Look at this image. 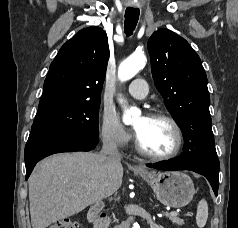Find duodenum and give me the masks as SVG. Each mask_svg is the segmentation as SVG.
Instances as JSON below:
<instances>
[{
    "instance_id": "410a0bca",
    "label": "duodenum",
    "mask_w": 238,
    "mask_h": 228,
    "mask_svg": "<svg viewBox=\"0 0 238 228\" xmlns=\"http://www.w3.org/2000/svg\"><path fill=\"white\" fill-rule=\"evenodd\" d=\"M88 220L93 224L94 228H105L103 213V205L101 203L93 204L87 213ZM133 217L131 216L125 223L120 225L118 228H130L131 221Z\"/></svg>"
}]
</instances>
